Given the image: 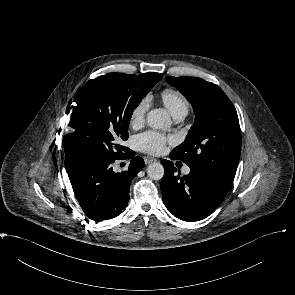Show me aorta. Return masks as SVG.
<instances>
[{
  "label": "aorta",
  "instance_id": "obj_1",
  "mask_svg": "<svg viewBox=\"0 0 295 295\" xmlns=\"http://www.w3.org/2000/svg\"><path fill=\"white\" fill-rule=\"evenodd\" d=\"M147 124L153 129L165 130L171 126V119L165 109L156 108L147 114ZM147 175L153 180H160L164 175V167L154 162L147 167Z\"/></svg>",
  "mask_w": 295,
  "mask_h": 295
}]
</instances>
